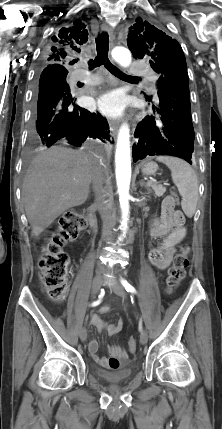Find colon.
<instances>
[{"instance_id":"5ec220e1","label":"colon","mask_w":222,"mask_h":429,"mask_svg":"<svg viewBox=\"0 0 222 429\" xmlns=\"http://www.w3.org/2000/svg\"><path fill=\"white\" fill-rule=\"evenodd\" d=\"M167 203L178 204L179 196L173 194L165 199ZM86 224L85 216L75 210L67 211L59 221V225L51 239L47 242L38 260L40 270V281L42 289L47 297L54 302L63 301L68 294V255L63 247L75 240ZM189 265L185 251L181 250L174 257L173 263L168 270L166 290L172 293L179 286L186 274ZM131 352L136 349V340L130 337L127 341Z\"/></svg>"}]
</instances>
